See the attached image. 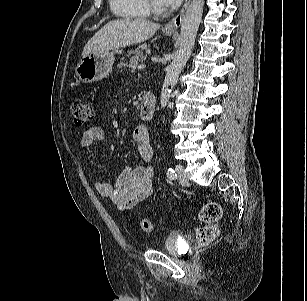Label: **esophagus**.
Returning <instances> with one entry per match:
<instances>
[{
    "instance_id": "34e87169",
    "label": "esophagus",
    "mask_w": 307,
    "mask_h": 301,
    "mask_svg": "<svg viewBox=\"0 0 307 301\" xmlns=\"http://www.w3.org/2000/svg\"><path fill=\"white\" fill-rule=\"evenodd\" d=\"M189 3H190V0H185L184 5L181 8V10L179 11V13L165 25L164 29L166 31L174 32L180 27L182 20H183L184 13H185Z\"/></svg>"
}]
</instances>
